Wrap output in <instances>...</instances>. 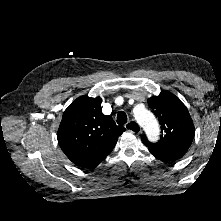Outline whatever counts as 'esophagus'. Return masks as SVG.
Wrapping results in <instances>:
<instances>
[{"instance_id": "esophagus-1", "label": "esophagus", "mask_w": 221, "mask_h": 221, "mask_svg": "<svg viewBox=\"0 0 221 221\" xmlns=\"http://www.w3.org/2000/svg\"><path fill=\"white\" fill-rule=\"evenodd\" d=\"M125 128L133 133H140L141 127L134 121H130L125 125Z\"/></svg>"}]
</instances>
